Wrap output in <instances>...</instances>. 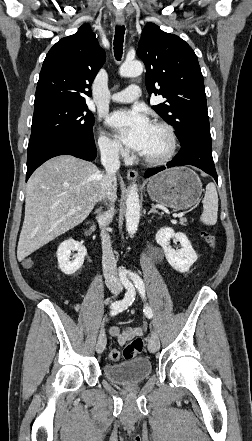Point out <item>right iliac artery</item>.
<instances>
[{"label":"right iliac artery","mask_w":252,"mask_h":441,"mask_svg":"<svg viewBox=\"0 0 252 441\" xmlns=\"http://www.w3.org/2000/svg\"><path fill=\"white\" fill-rule=\"evenodd\" d=\"M122 284H123L124 287L127 289V292H126V294H125V297H124L122 300L116 301V302H114V303L111 304V309H112V308L114 307V305H116V304L121 305V307H122L121 312H122L123 310L127 309V308L132 304V302H133L134 299H135V288H134V286L132 285V283L125 279V280H122Z\"/></svg>","instance_id":"82829eb1"}]
</instances>
